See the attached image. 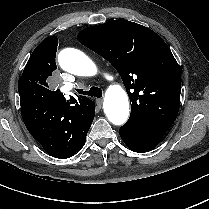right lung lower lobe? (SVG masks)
<instances>
[{
  "mask_svg": "<svg viewBox=\"0 0 209 209\" xmlns=\"http://www.w3.org/2000/svg\"><path fill=\"white\" fill-rule=\"evenodd\" d=\"M21 114L30 134L53 157L68 158L73 156L85 144L86 136L74 141L70 131L52 125L61 111L51 97L40 96L33 91L20 95Z\"/></svg>",
  "mask_w": 209,
  "mask_h": 209,
  "instance_id": "obj_1",
  "label": "right lung lower lobe"
}]
</instances>
